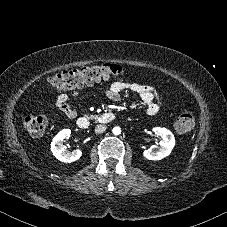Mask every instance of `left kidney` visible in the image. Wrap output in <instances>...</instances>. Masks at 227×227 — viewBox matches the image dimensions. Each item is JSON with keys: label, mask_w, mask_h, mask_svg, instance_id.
<instances>
[{"label": "left kidney", "mask_w": 227, "mask_h": 227, "mask_svg": "<svg viewBox=\"0 0 227 227\" xmlns=\"http://www.w3.org/2000/svg\"><path fill=\"white\" fill-rule=\"evenodd\" d=\"M152 131L156 135L162 137V141L160 142V148L158 150H154L151 148L144 150L143 155L148 160H161L171 153L172 149L175 146V138L173 133L166 128L154 127Z\"/></svg>", "instance_id": "left-kidney-1"}]
</instances>
